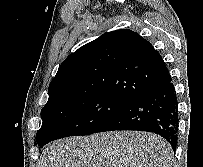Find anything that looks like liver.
Masks as SVG:
<instances>
[{
  "label": "liver",
  "instance_id": "obj_1",
  "mask_svg": "<svg viewBox=\"0 0 203 167\" xmlns=\"http://www.w3.org/2000/svg\"><path fill=\"white\" fill-rule=\"evenodd\" d=\"M172 148L162 137L115 131L56 140L43 151L38 167H171Z\"/></svg>",
  "mask_w": 203,
  "mask_h": 167
}]
</instances>
